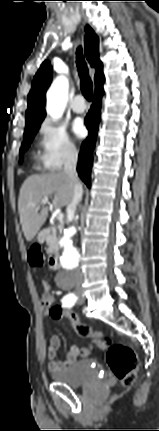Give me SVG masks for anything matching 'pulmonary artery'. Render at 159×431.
<instances>
[{"label": "pulmonary artery", "mask_w": 159, "mask_h": 431, "mask_svg": "<svg viewBox=\"0 0 159 431\" xmlns=\"http://www.w3.org/2000/svg\"><path fill=\"white\" fill-rule=\"evenodd\" d=\"M71 108L75 113H83L86 109V104L82 95H76L71 103Z\"/></svg>", "instance_id": "obj_1"}]
</instances>
